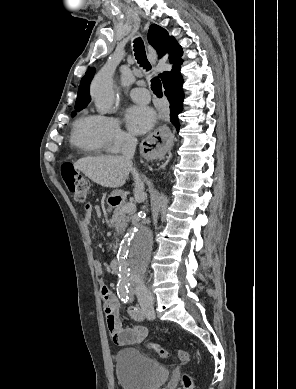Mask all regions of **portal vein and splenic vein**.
Instances as JSON below:
<instances>
[{
	"label": "portal vein and splenic vein",
	"instance_id": "18ae733b",
	"mask_svg": "<svg viewBox=\"0 0 296 389\" xmlns=\"http://www.w3.org/2000/svg\"><path fill=\"white\" fill-rule=\"evenodd\" d=\"M136 209V206L134 203L130 202L128 204H126L124 207H123V212H132Z\"/></svg>",
	"mask_w": 296,
	"mask_h": 389
}]
</instances>
